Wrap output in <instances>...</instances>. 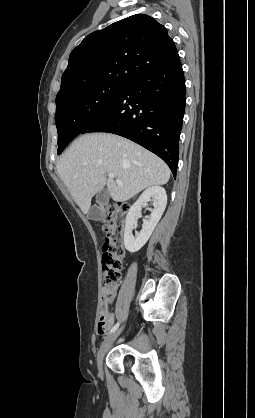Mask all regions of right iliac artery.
<instances>
[{
	"instance_id": "obj_1",
	"label": "right iliac artery",
	"mask_w": 255,
	"mask_h": 418,
	"mask_svg": "<svg viewBox=\"0 0 255 418\" xmlns=\"http://www.w3.org/2000/svg\"><path fill=\"white\" fill-rule=\"evenodd\" d=\"M119 325H120V322H117L112 328H111V330L109 331V333H108V335L109 334H111V333H113V332H115L116 330H117V328L119 327Z\"/></svg>"
}]
</instances>
